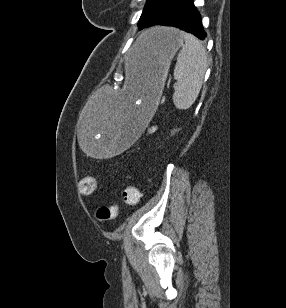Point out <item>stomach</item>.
<instances>
[{
	"label": "stomach",
	"mask_w": 286,
	"mask_h": 308,
	"mask_svg": "<svg viewBox=\"0 0 286 308\" xmlns=\"http://www.w3.org/2000/svg\"><path fill=\"white\" fill-rule=\"evenodd\" d=\"M183 32L156 27L145 32L125 55L127 86L121 91H97L86 100L77 130L80 149L86 159H112L130 144H140L141 125H148V107H156L164 88L169 66L183 45Z\"/></svg>",
	"instance_id": "stomach-1"
}]
</instances>
